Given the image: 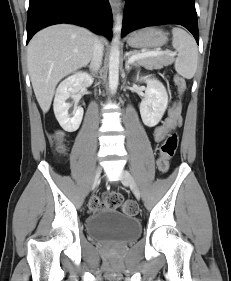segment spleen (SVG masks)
<instances>
[{
	"mask_svg": "<svg viewBox=\"0 0 231 281\" xmlns=\"http://www.w3.org/2000/svg\"><path fill=\"white\" fill-rule=\"evenodd\" d=\"M172 46L178 52L175 60L176 72L186 79L196 73L198 64V48L195 39L181 28L172 29Z\"/></svg>",
	"mask_w": 231,
	"mask_h": 281,
	"instance_id": "spleen-1",
	"label": "spleen"
}]
</instances>
